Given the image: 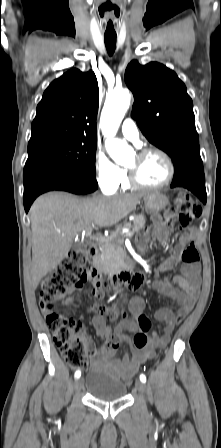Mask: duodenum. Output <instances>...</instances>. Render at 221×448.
Wrapping results in <instances>:
<instances>
[{
    "mask_svg": "<svg viewBox=\"0 0 221 448\" xmlns=\"http://www.w3.org/2000/svg\"><path fill=\"white\" fill-rule=\"evenodd\" d=\"M89 256L94 265H98L100 259V251L96 247L89 249ZM140 281V275L131 272L128 269L119 270L113 272L107 276L104 286L107 288L114 285L127 286L129 288H135Z\"/></svg>",
    "mask_w": 221,
    "mask_h": 448,
    "instance_id": "obj_1",
    "label": "duodenum"
}]
</instances>
